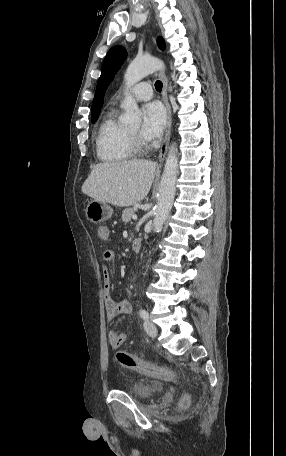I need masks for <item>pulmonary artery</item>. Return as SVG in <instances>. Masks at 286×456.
<instances>
[{
    "instance_id": "e3ab8cb5",
    "label": "pulmonary artery",
    "mask_w": 286,
    "mask_h": 456,
    "mask_svg": "<svg viewBox=\"0 0 286 456\" xmlns=\"http://www.w3.org/2000/svg\"><path fill=\"white\" fill-rule=\"evenodd\" d=\"M131 95L138 101L149 100L153 96L152 87L148 83H139L131 89Z\"/></svg>"
}]
</instances>
